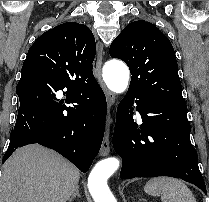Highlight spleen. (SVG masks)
<instances>
[{
  "mask_svg": "<svg viewBox=\"0 0 209 202\" xmlns=\"http://www.w3.org/2000/svg\"><path fill=\"white\" fill-rule=\"evenodd\" d=\"M144 190L152 196H160L162 202H196L192 191L179 179L157 177L150 179Z\"/></svg>",
  "mask_w": 209,
  "mask_h": 202,
  "instance_id": "spleen-1",
  "label": "spleen"
}]
</instances>
